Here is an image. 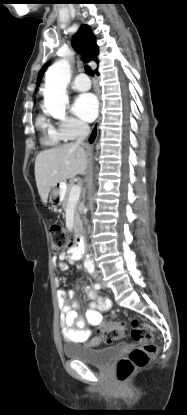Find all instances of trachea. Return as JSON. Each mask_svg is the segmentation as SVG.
Here are the masks:
<instances>
[{"instance_id": "3493384b", "label": "trachea", "mask_w": 187, "mask_h": 415, "mask_svg": "<svg viewBox=\"0 0 187 415\" xmlns=\"http://www.w3.org/2000/svg\"><path fill=\"white\" fill-rule=\"evenodd\" d=\"M85 71L90 76H93L94 75L92 69L89 66H87V65L85 66Z\"/></svg>"}]
</instances>
